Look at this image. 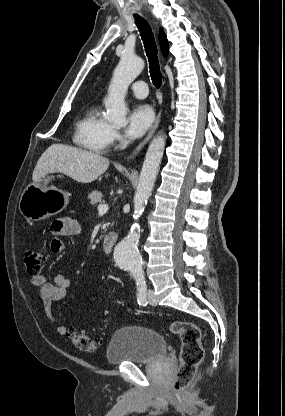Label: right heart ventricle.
Instances as JSON below:
<instances>
[{
	"label": "right heart ventricle",
	"mask_w": 285,
	"mask_h": 416,
	"mask_svg": "<svg viewBox=\"0 0 285 416\" xmlns=\"http://www.w3.org/2000/svg\"><path fill=\"white\" fill-rule=\"evenodd\" d=\"M111 125L100 115L95 105L88 107L76 124L74 143L80 148L95 154L108 147Z\"/></svg>",
	"instance_id": "right-heart-ventricle-1"
}]
</instances>
